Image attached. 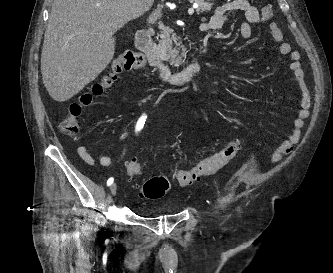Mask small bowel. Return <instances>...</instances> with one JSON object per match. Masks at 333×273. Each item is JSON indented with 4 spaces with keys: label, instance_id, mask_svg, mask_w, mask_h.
I'll use <instances>...</instances> for the list:
<instances>
[{
    "label": "small bowel",
    "instance_id": "c3829d8e",
    "mask_svg": "<svg viewBox=\"0 0 333 273\" xmlns=\"http://www.w3.org/2000/svg\"><path fill=\"white\" fill-rule=\"evenodd\" d=\"M233 11H238L243 14L245 20L239 26V34L242 38L249 39L252 36V25L260 22L262 11L251 6L247 0H229L228 2L219 5L211 18L200 25V30L209 31L222 28L228 20V15ZM270 32L274 40L279 43L280 52L289 55L292 61L290 64V70L295 76L299 90L300 106L297 116L292 122V129L287 139L282 142L272 156V162H276L285 155H288L300 140L304 120L309 116L310 92L300 63V53L291 49L290 44L284 40L282 31L275 22L270 24ZM77 153L87 164L92 165L94 163L86 146H79ZM98 162L104 167L112 165V159L104 154L98 156Z\"/></svg>",
    "mask_w": 333,
    "mask_h": 273
}]
</instances>
